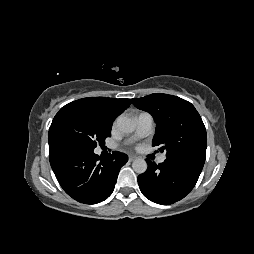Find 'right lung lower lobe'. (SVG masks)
<instances>
[{
  "instance_id": "98d812e1",
  "label": "right lung lower lobe",
  "mask_w": 254,
  "mask_h": 254,
  "mask_svg": "<svg viewBox=\"0 0 254 254\" xmlns=\"http://www.w3.org/2000/svg\"><path fill=\"white\" fill-rule=\"evenodd\" d=\"M94 149L64 142L49 144L53 172L64 191L78 202L96 204L113 192L118 173L128 158L114 151L99 157Z\"/></svg>"
}]
</instances>
